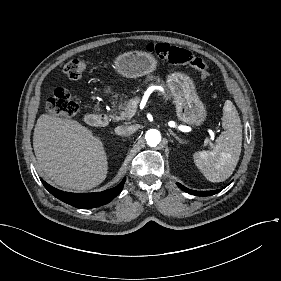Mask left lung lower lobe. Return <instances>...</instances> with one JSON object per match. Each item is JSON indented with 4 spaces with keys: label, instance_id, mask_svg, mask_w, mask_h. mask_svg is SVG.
I'll list each match as a JSON object with an SVG mask.
<instances>
[{
    "label": "left lung lower lobe",
    "instance_id": "left-lung-lower-lobe-1",
    "mask_svg": "<svg viewBox=\"0 0 281 281\" xmlns=\"http://www.w3.org/2000/svg\"><path fill=\"white\" fill-rule=\"evenodd\" d=\"M177 185L179 186L180 189H182L183 191L189 193V194H192V195H196V196H210V195H213V194H216L218 192L221 191V189L219 190H213V191H195V190H191V189H188L186 187H184L182 184L180 183H177Z\"/></svg>",
    "mask_w": 281,
    "mask_h": 281
}]
</instances>
